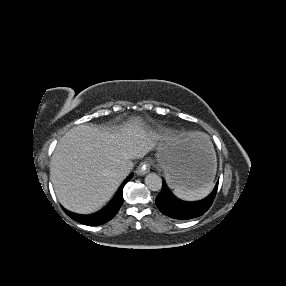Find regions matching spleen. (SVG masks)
I'll list each match as a JSON object with an SVG mask.
<instances>
[{
    "mask_svg": "<svg viewBox=\"0 0 286 286\" xmlns=\"http://www.w3.org/2000/svg\"><path fill=\"white\" fill-rule=\"evenodd\" d=\"M213 182L208 184L205 187L197 188V189H186L181 186H174L173 193L180 199L186 201H194L204 198L209 194V192L213 188Z\"/></svg>",
    "mask_w": 286,
    "mask_h": 286,
    "instance_id": "obj_1",
    "label": "spleen"
}]
</instances>
